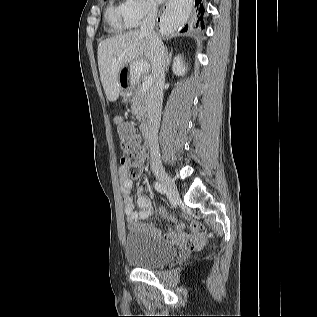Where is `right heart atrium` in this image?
Instances as JSON below:
<instances>
[{
	"instance_id": "obj_1",
	"label": "right heart atrium",
	"mask_w": 317,
	"mask_h": 317,
	"mask_svg": "<svg viewBox=\"0 0 317 317\" xmlns=\"http://www.w3.org/2000/svg\"><path fill=\"white\" fill-rule=\"evenodd\" d=\"M123 9L130 27L139 26L156 12V7L149 0H124Z\"/></svg>"
}]
</instances>
